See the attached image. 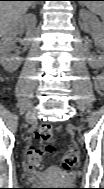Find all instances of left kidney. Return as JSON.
Returning <instances> with one entry per match:
<instances>
[{"label":"left kidney","mask_w":104,"mask_h":189,"mask_svg":"<svg viewBox=\"0 0 104 189\" xmlns=\"http://www.w3.org/2000/svg\"><path fill=\"white\" fill-rule=\"evenodd\" d=\"M80 17L91 26L93 35L97 42V45L99 47H103V45H104V39H103L104 38V25H103V23L100 22L98 20V18H96L94 15H92L91 13H89L85 10L80 11ZM87 61L91 67H98V66L103 65L104 58H103V56L94 58L93 56L88 54Z\"/></svg>","instance_id":"1"}]
</instances>
